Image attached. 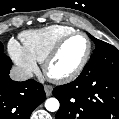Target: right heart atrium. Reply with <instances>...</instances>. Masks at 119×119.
I'll list each match as a JSON object with an SVG mask.
<instances>
[{
	"label": "right heart atrium",
	"mask_w": 119,
	"mask_h": 119,
	"mask_svg": "<svg viewBox=\"0 0 119 119\" xmlns=\"http://www.w3.org/2000/svg\"><path fill=\"white\" fill-rule=\"evenodd\" d=\"M8 50L11 58L24 75L30 76L37 71V62L29 55L25 47L17 40L11 39L9 41Z\"/></svg>",
	"instance_id": "1"
}]
</instances>
